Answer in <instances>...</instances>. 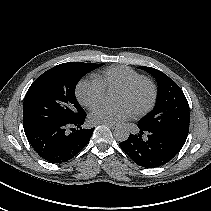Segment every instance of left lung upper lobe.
Listing matches in <instances>:
<instances>
[{"label":"left lung upper lobe","mask_w":211,"mask_h":211,"mask_svg":"<svg viewBox=\"0 0 211 211\" xmlns=\"http://www.w3.org/2000/svg\"><path fill=\"white\" fill-rule=\"evenodd\" d=\"M158 82V97L155 109L138 124L146 129L165 132L185 143L189 132V105L180 87L163 72L140 66Z\"/></svg>","instance_id":"left-lung-upper-lobe-1"}]
</instances>
